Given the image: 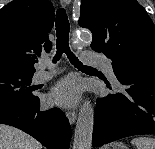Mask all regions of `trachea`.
I'll use <instances>...</instances> for the list:
<instances>
[{
    "label": "trachea",
    "mask_w": 155,
    "mask_h": 149,
    "mask_svg": "<svg viewBox=\"0 0 155 149\" xmlns=\"http://www.w3.org/2000/svg\"><path fill=\"white\" fill-rule=\"evenodd\" d=\"M56 48L57 52L53 59V62L55 63L58 61L63 53H65L71 62L76 68L78 69H95L90 66L83 65L78 58L71 52L69 48V30H70V24L68 21V17L66 14L65 9L59 8L56 13Z\"/></svg>",
    "instance_id": "trachea-1"
}]
</instances>
